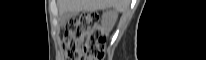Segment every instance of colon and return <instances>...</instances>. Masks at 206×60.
I'll use <instances>...</instances> for the list:
<instances>
[{"label":"colon","mask_w":206,"mask_h":60,"mask_svg":"<svg viewBox=\"0 0 206 60\" xmlns=\"http://www.w3.org/2000/svg\"><path fill=\"white\" fill-rule=\"evenodd\" d=\"M96 14H84L71 20L63 38L66 60H101L105 56L104 37L98 28Z\"/></svg>","instance_id":"5ec220e1"}]
</instances>
